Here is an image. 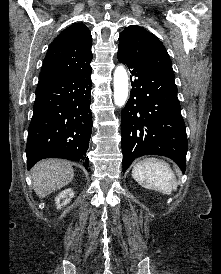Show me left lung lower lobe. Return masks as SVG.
<instances>
[{"label":"left lung lower lobe","mask_w":221,"mask_h":274,"mask_svg":"<svg viewBox=\"0 0 221 274\" xmlns=\"http://www.w3.org/2000/svg\"><path fill=\"white\" fill-rule=\"evenodd\" d=\"M131 73L130 98L121 113L123 172L143 155L171 158L184 173L188 142L174 77L118 50Z\"/></svg>","instance_id":"1"}]
</instances>
